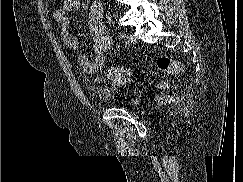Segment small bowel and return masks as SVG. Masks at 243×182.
Masks as SVG:
<instances>
[{
  "label": "small bowel",
  "mask_w": 243,
  "mask_h": 182,
  "mask_svg": "<svg viewBox=\"0 0 243 182\" xmlns=\"http://www.w3.org/2000/svg\"><path fill=\"white\" fill-rule=\"evenodd\" d=\"M79 0H61V7L53 13L55 22L61 28L64 43L71 50L79 52L77 56L81 70L90 75H96L105 63V55L113 48V40L103 22V7L99 1H94L89 10V24L92 34V46L95 59L91 60L87 54L80 52V41L70 32V19L68 14L77 10ZM96 81H101L96 77Z\"/></svg>",
  "instance_id": "c3829d8e"
}]
</instances>
